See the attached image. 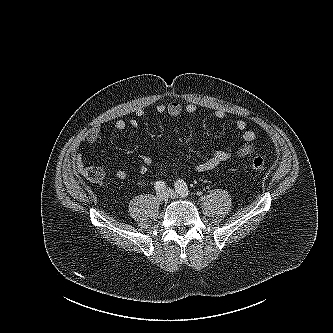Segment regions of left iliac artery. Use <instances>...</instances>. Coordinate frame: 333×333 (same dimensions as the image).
I'll use <instances>...</instances> for the list:
<instances>
[{
    "label": "left iliac artery",
    "mask_w": 333,
    "mask_h": 333,
    "mask_svg": "<svg viewBox=\"0 0 333 333\" xmlns=\"http://www.w3.org/2000/svg\"><path fill=\"white\" fill-rule=\"evenodd\" d=\"M175 190L180 196L186 197L189 195L187 184L183 180H177L175 183Z\"/></svg>",
    "instance_id": "44dca946"
}]
</instances>
